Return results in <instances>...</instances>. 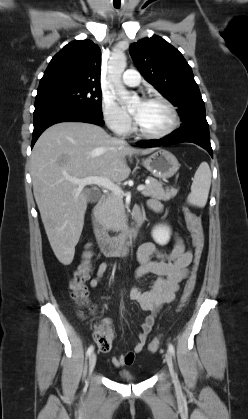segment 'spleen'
Masks as SVG:
<instances>
[{"label": "spleen", "instance_id": "3e777b00", "mask_svg": "<svg viewBox=\"0 0 248 419\" xmlns=\"http://www.w3.org/2000/svg\"><path fill=\"white\" fill-rule=\"evenodd\" d=\"M210 185V167L207 162H202L195 172L187 202L193 206L204 207L207 203Z\"/></svg>", "mask_w": 248, "mask_h": 419}]
</instances>
